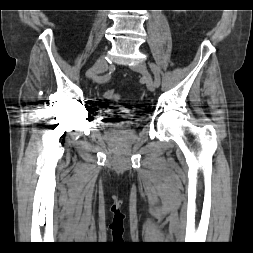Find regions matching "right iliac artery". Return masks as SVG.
<instances>
[{"instance_id": "right-iliac-artery-1", "label": "right iliac artery", "mask_w": 253, "mask_h": 253, "mask_svg": "<svg viewBox=\"0 0 253 253\" xmlns=\"http://www.w3.org/2000/svg\"><path fill=\"white\" fill-rule=\"evenodd\" d=\"M93 79L97 80L99 82H107L110 79V75L106 74L103 77H97V76H95Z\"/></svg>"}]
</instances>
